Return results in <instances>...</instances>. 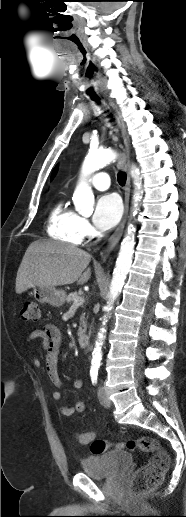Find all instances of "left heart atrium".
Masks as SVG:
<instances>
[{"instance_id":"left-heart-atrium-1","label":"left heart atrium","mask_w":186,"mask_h":517,"mask_svg":"<svg viewBox=\"0 0 186 517\" xmlns=\"http://www.w3.org/2000/svg\"><path fill=\"white\" fill-rule=\"evenodd\" d=\"M122 215V203L116 194L101 196L95 207L93 222L95 226L106 231L114 227Z\"/></svg>"}]
</instances>
